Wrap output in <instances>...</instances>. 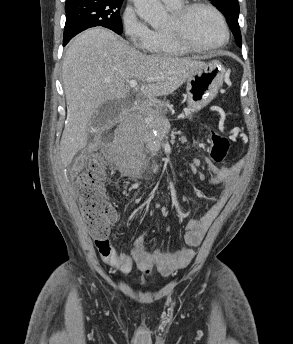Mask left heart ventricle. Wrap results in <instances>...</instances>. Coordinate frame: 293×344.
<instances>
[{
	"label": "left heart ventricle",
	"instance_id": "b2bd125f",
	"mask_svg": "<svg viewBox=\"0 0 293 344\" xmlns=\"http://www.w3.org/2000/svg\"><path fill=\"white\" fill-rule=\"evenodd\" d=\"M173 26L172 15L165 29ZM184 33L197 46H212L223 39L222 27L216 16L205 8H196L188 13L184 21Z\"/></svg>",
	"mask_w": 293,
	"mask_h": 344
}]
</instances>
